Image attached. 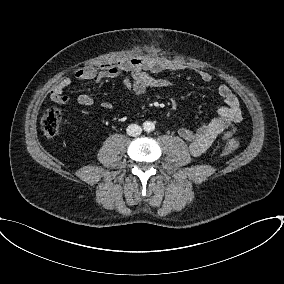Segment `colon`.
I'll list each match as a JSON object with an SVG mask.
<instances>
[{
    "mask_svg": "<svg viewBox=\"0 0 284 284\" xmlns=\"http://www.w3.org/2000/svg\"><path fill=\"white\" fill-rule=\"evenodd\" d=\"M61 120L62 115L59 109L55 107L47 109L40 119V126L43 133L48 137L55 136L59 132ZM238 146L239 142L236 138L230 139L226 145L224 155L231 154Z\"/></svg>",
    "mask_w": 284,
    "mask_h": 284,
    "instance_id": "obj_1",
    "label": "colon"
}]
</instances>
